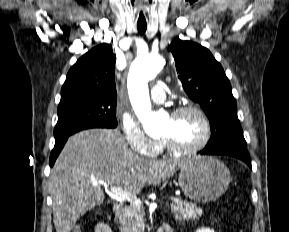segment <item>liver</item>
I'll return each mask as SVG.
<instances>
[{
	"label": "liver",
	"instance_id": "1",
	"mask_svg": "<svg viewBox=\"0 0 289 232\" xmlns=\"http://www.w3.org/2000/svg\"><path fill=\"white\" fill-rule=\"evenodd\" d=\"M184 162L139 157L118 130L90 129L72 135L49 178L56 232H70L82 215L103 203L102 183L136 195L146 185L173 176Z\"/></svg>",
	"mask_w": 289,
	"mask_h": 232
}]
</instances>
